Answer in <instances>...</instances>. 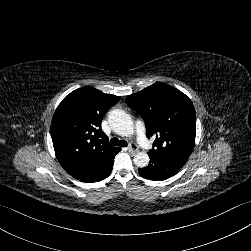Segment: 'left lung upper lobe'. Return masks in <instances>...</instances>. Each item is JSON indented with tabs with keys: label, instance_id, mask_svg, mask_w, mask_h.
Returning a JSON list of instances; mask_svg holds the SVG:
<instances>
[{
	"label": "left lung upper lobe",
	"instance_id": "1",
	"mask_svg": "<svg viewBox=\"0 0 251 251\" xmlns=\"http://www.w3.org/2000/svg\"><path fill=\"white\" fill-rule=\"evenodd\" d=\"M126 103L144 118L147 137H155L149 152L185 164L196 136L191 100L178 89L157 82L127 96Z\"/></svg>",
	"mask_w": 251,
	"mask_h": 251
}]
</instances>
